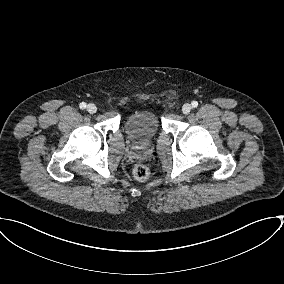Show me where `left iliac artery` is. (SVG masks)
I'll return each instance as SVG.
<instances>
[{
    "mask_svg": "<svg viewBox=\"0 0 284 284\" xmlns=\"http://www.w3.org/2000/svg\"><path fill=\"white\" fill-rule=\"evenodd\" d=\"M191 105L193 108H196L198 106V102L197 101H192Z\"/></svg>",
    "mask_w": 284,
    "mask_h": 284,
    "instance_id": "1",
    "label": "left iliac artery"
}]
</instances>
